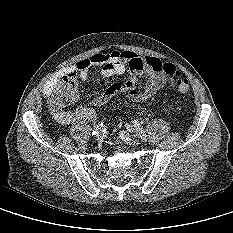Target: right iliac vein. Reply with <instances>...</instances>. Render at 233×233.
Wrapping results in <instances>:
<instances>
[{
  "label": "right iliac vein",
  "mask_w": 233,
  "mask_h": 233,
  "mask_svg": "<svg viewBox=\"0 0 233 233\" xmlns=\"http://www.w3.org/2000/svg\"><path fill=\"white\" fill-rule=\"evenodd\" d=\"M104 139L103 133L101 131L98 132V134L96 135V140L98 142H102Z\"/></svg>",
  "instance_id": "63e3f726"
}]
</instances>
